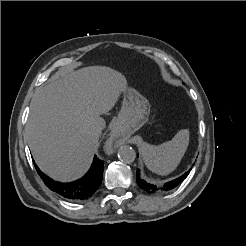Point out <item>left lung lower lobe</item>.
Instances as JSON below:
<instances>
[{
    "mask_svg": "<svg viewBox=\"0 0 246 246\" xmlns=\"http://www.w3.org/2000/svg\"><path fill=\"white\" fill-rule=\"evenodd\" d=\"M189 174V171L180 176L179 178L172 180L170 182L165 183L162 187H157L155 185L147 183L140 177V170H137V184L140 188L145 190L147 193H161L165 191H169L176 186H178Z\"/></svg>",
    "mask_w": 246,
    "mask_h": 246,
    "instance_id": "0a47b994",
    "label": "left lung lower lobe"
}]
</instances>
